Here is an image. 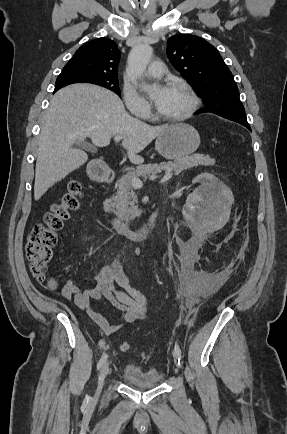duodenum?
I'll return each mask as SVG.
<instances>
[{"mask_svg": "<svg viewBox=\"0 0 287 434\" xmlns=\"http://www.w3.org/2000/svg\"><path fill=\"white\" fill-rule=\"evenodd\" d=\"M89 173L92 179L98 182L111 183L115 178L114 172L104 163L93 164L90 167ZM103 211L107 220L118 235L139 243L144 242L150 237L156 226L158 217L157 212H153L144 227L131 229L125 221L113 215L111 199L105 200Z\"/></svg>", "mask_w": 287, "mask_h": 434, "instance_id": "obj_1", "label": "duodenum"}]
</instances>
